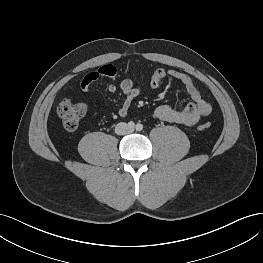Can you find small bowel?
<instances>
[{
    "label": "small bowel",
    "instance_id": "obj_1",
    "mask_svg": "<svg viewBox=\"0 0 263 263\" xmlns=\"http://www.w3.org/2000/svg\"><path fill=\"white\" fill-rule=\"evenodd\" d=\"M115 77L116 69L112 66H104L87 73L81 79L80 87L83 91L88 92L100 79H114ZM165 78L177 80L186 89L192 102L187 104L183 109H176L169 105H160L153 113L154 118L182 126H193L210 114L211 105L203 98L194 80L185 73L174 69H157L150 78V88L158 89ZM119 88L125 95V98L118 108V115L125 116L133 100L140 94L141 88L128 78L120 82ZM117 90L118 86L113 83L107 86L109 93H115Z\"/></svg>",
    "mask_w": 263,
    "mask_h": 263
}]
</instances>
